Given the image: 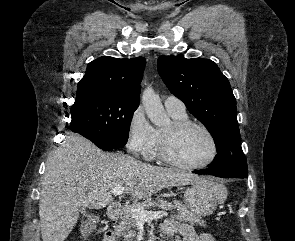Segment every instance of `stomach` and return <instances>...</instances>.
Masks as SVG:
<instances>
[{
  "mask_svg": "<svg viewBox=\"0 0 295 241\" xmlns=\"http://www.w3.org/2000/svg\"><path fill=\"white\" fill-rule=\"evenodd\" d=\"M227 198L225 186L214 179H204L201 182L190 183L184 200L187 208L199 217L211 215L217 204Z\"/></svg>",
  "mask_w": 295,
  "mask_h": 241,
  "instance_id": "1",
  "label": "stomach"
}]
</instances>
